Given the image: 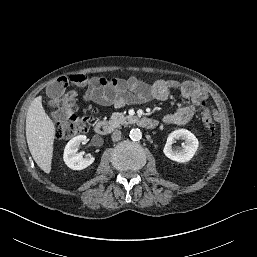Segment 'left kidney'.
<instances>
[{
  "label": "left kidney",
  "mask_w": 257,
  "mask_h": 257,
  "mask_svg": "<svg viewBox=\"0 0 257 257\" xmlns=\"http://www.w3.org/2000/svg\"><path fill=\"white\" fill-rule=\"evenodd\" d=\"M175 139L184 140L182 149L179 151L172 149V143ZM198 145V139L193 133L187 129H177L169 134L163 152L169 159L178 163H185L193 158L198 149Z\"/></svg>",
  "instance_id": "obj_1"
}]
</instances>
